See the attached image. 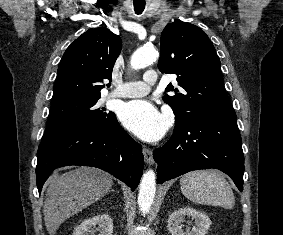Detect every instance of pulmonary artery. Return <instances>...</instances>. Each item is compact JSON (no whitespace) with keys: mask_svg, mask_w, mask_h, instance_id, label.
I'll list each match as a JSON object with an SVG mask.
<instances>
[{"mask_svg":"<svg viewBox=\"0 0 283 235\" xmlns=\"http://www.w3.org/2000/svg\"><path fill=\"white\" fill-rule=\"evenodd\" d=\"M156 82V72L154 70H148L144 74L143 81H130L120 84L109 93V96L117 98L142 97L149 93L151 86Z\"/></svg>","mask_w":283,"mask_h":235,"instance_id":"e3ab8cb5","label":"pulmonary artery"}]
</instances>
